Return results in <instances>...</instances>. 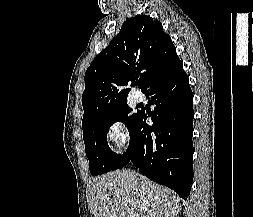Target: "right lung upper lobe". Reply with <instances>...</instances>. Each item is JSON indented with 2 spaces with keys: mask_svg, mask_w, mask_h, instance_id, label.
<instances>
[{
  "mask_svg": "<svg viewBox=\"0 0 253 217\" xmlns=\"http://www.w3.org/2000/svg\"><path fill=\"white\" fill-rule=\"evenodd\" d=\"M179 62L176 48L162 24L150 16L128 19L119 34L93 60L85 73L82 124L116 105L126 102L139 77L145 92L158 77Z\"/></svg>",
  "mask_w": 253,
  "mask_h": 217,
  "instance_id": "cb5924a9",
  "label": "right lung upper lobe"
}]
</instances>
